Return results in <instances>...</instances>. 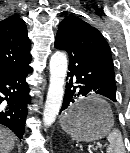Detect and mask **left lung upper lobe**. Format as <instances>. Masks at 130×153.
<instances>
[{"instance_id": "5c2ea615", "label": "left lung upper lobe", "mask_w": 130, "mask_h": 153, "mask_svg": "<svg viewBox=\"0 0 130 153\" xmlns=\"http://www.w3.org/2000/svg\"><path fill=\"white\" fill-rule=\"evenodd\" d=\"M56 36L63 37L81 50L90 53L115 78L110 47L96 28L78 17L67 16L59 24Z\"/></svg>"}]
</instances>
